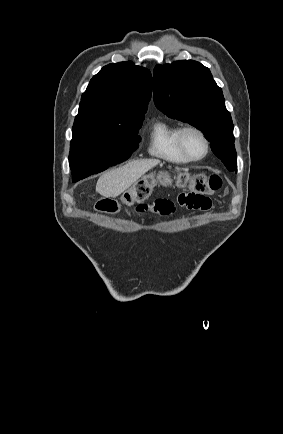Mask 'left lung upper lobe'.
<instances>
[{
	"label": "left lung upper lobe",
	"mask_w": 283,
	"mask_h": 434,
	"mask_svg": "<svg viewBox=\"0 0 283 434\" xmlns=\"http://www.w3.org/2000/svg\"><path fill=\"white\" fill-rule=\"evenodd\" d=\"M153 77L156 107L201 130L227 169L237 171L232 119L209 69L194 60H181L156 65Z\"/></svg>",
	"instance_id": "obj_1"
}]
</instances>
